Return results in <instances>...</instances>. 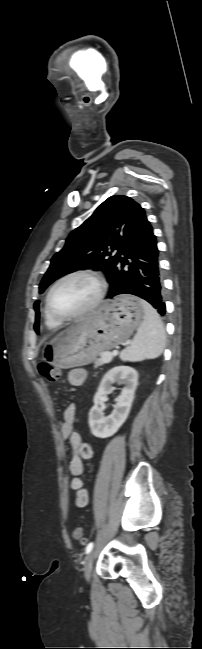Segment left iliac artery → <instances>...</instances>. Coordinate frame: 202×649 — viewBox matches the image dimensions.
Segmentation results:
<instances>
[{"mask_svg": "<svg viewBox=\"0 0 202 649\" xmlns=\"http://www.w3.org/2000/svg\"><path fill=\"white\" fill-rule=\"evenodd\" d=\"M93 545H94L93 542H90V543L86 546V549H85L86 554H88V553L91 552V550L93 549Z\"/></svg>", "mask_w": 202, "mask_h": 649, "instance_id": "obj_1", "label": "left iliac artery"}]
</instances>
